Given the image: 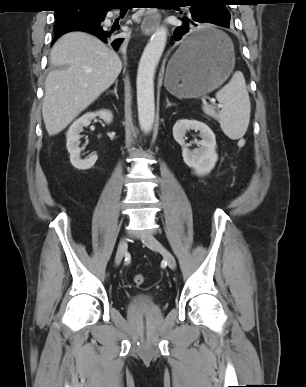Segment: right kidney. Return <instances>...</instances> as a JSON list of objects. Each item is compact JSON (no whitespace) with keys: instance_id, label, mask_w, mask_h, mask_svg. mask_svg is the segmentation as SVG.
<instances>
[{"instance_id":"ca27d5eb","label":"right kidney","mask_w":306,"mask_h":387,"mask_svg":"<svg viewBox=\"0 0 306 387\" xmlns=\"http://www.w3.org/2000/svg\"><path fill=\"white\" fill-rule=\"evenodd\" d=\"M100 117L106 123H111L113 120V114L109 110H100L97 112H89L81 116L79 119L74 121V123L70 126L66 138L67 143L66 147L68 152L70 153V162L71 164L79 170H87L90 169L98 159L97 155H90L86 159L80 158L79 148L80 144V133L83 131V127H87L90 125L91 121L95 117Z\"/></svg>"}]
</instances>
